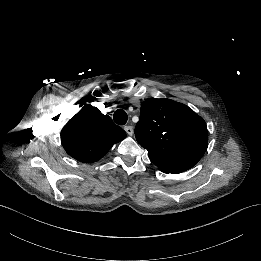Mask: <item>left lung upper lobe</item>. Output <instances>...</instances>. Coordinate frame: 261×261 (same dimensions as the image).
<instances>
[{
  "label": "left lung upper lobe",
  "mask_w": 261,
  "mask_h": 261,
  "mask_svg": "<svg viewBox=\"0 0 261 261\" xmlns=\"http://www.w3.org/2000/svg\"><path fill=\"white\" fill-rule=\"evenodd\" d=\"M138 143L164 173L192 168L208 144L206 123L188 106L170 99L149 98L142 103L135 128Z\"/></svg>",
  "instance_id": "1"
}]
</instances>
